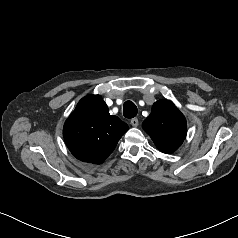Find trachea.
<instances>
[{"instance_id": "trachea-1", "label": "trachea", "mask_w": 238, "mask_h": 238, "mask_svg": "<svg viewBox=\"0 0 238 238\" xmlns=\"http://www.w3.org/2000/svg\"><path fill=\"white\" fill-rule=\"evenodd\" d=\"M137 107L132 101H126L123 105V115L126 118H133L137 115Z\"/></svg>"}]
</instances>
